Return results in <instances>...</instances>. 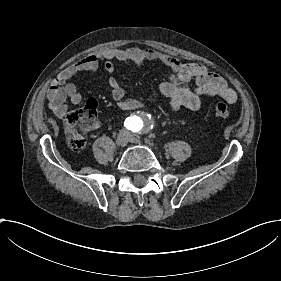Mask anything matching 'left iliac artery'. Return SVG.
Instances as JSON below:
<instances>
[{
  "instance_id": "obj_1",
  "label": "left iliac artery",
  "mask_w": 281,
  "mask_h": 281,
  "mask_svg": "<svg viewBox=\"0 0 281 281\" xmlns=\"http://www.w3.org/2000/svg\"><path fill=\"white\" fill-rule=\"evenodd\" d=\"M140 129H141L140 127H134L133 130H134V132H138V131H140Z\"/></svg>"
}]
</instances>
